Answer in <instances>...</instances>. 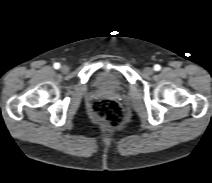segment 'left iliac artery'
Here are the masks:
<instances>
[{
	"label": "left iliac artery",
	"mask_w": 212,
	"mask_h": 183,
	"mask_svg": "<svg viewBox=\"0 0 212 183\" xmlns=\"http://www.w3.org/2000/svg\"><path fill=\"white\" fill-rule=\"evenodd\" d=\"M161 69V66L159 64H156L154 66V70L159 71Z\"/></svg>",
	"instance_id": "1"
}]
</instances>
